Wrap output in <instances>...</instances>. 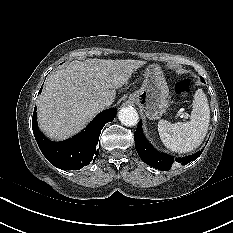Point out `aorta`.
<instances>
[{"label":"aorta","instance_id":"1","mask_svg":"<svg viewBox=\"0 0 233 233\" xmlns=\"http://www.w3.org/2000/svg\"><path fill=\"white\" fill-rule=\"evenodd\" d=\"M118 118L125 126H135L139 116L133 107H123L118 113Z\"/></svg>","mask_w":233,"mask_h":233}]
</instances>
